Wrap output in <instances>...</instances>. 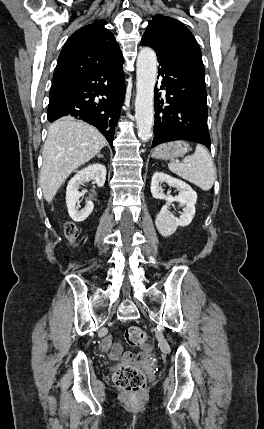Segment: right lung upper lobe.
Segmentation results:
<instances>
[{
  "mask_svg": "<svg viewBox=\"0 0 264 429\" xmlns=\"http://www.w3.org/2000/svg\"><path fill=\"white\" fill-rule=\"evenodd\" d=\"M105 24L98 20L70 36L59 55L51 89L84 77L121 54Z\"/></svg>",
  "mask_w": 264,
  "mask_h": 429,
  "instance_id": "right-lung-upper-lobe-1",
  "label": "right lung upper lobe"
}]
</instances>
